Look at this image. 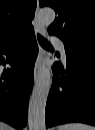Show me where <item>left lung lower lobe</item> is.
Masks as SVG:
<instances>
[{"label": "left lung lower lobe", "mask_w": 95, "mask_h": 130, "mask_svg": "<svg viewBox=\"0 0 95 130\" xmlns=\"http://www.w3.org/2000/svg\"><path fill=\"white\" fill-rule=\"evenodd\" d=\"M64 46L67 67L54 63L46 126L69 122L95 125V53L65 43Z\"/></svg>", "instance_id": "0a47b994"}]
</instances>
